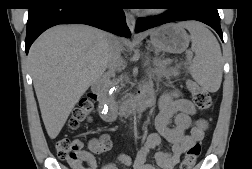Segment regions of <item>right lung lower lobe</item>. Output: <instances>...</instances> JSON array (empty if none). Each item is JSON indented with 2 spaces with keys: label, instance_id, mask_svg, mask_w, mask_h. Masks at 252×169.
<instances>
[{
  "label": "right lung lower lobe",
  "instance_id": "obj_1",
  "mask_svg": "<svg viewBox=\"0 0 252 169\" xmlns=\"http://www.w3.org/2000/svg\"><path fill=\"white\" fill-rule=\"evenodd\" d=\"M87 24L129 38L117 0H36L29 8L25 51L46 29L58 24Z\"/></svg>",
  "mask_w": 252,
  "mask_h": 169
}]
</instances>
